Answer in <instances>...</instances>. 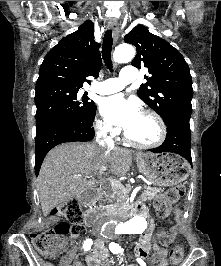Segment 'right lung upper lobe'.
<instances>
[{
  "label": "right lung upper lobe",
  "mask_w": 221,
  "mask_h": 266,
  "mask_svg": "<svg viewBox=\"0 0 221 266\" xmlns=\"http://www.w3.org/2000/svg\"><path fill=\"white\" fill-rule=\"evenodd\" d=\"M102 59L94 40V25L85 21L77 31L64 37L45 56L35 89L69 87L80 89L88 76L98 77Z\"/></svg>",
  "instance_id": "right-lung-upper-lobe-1"
}]
</instances>
